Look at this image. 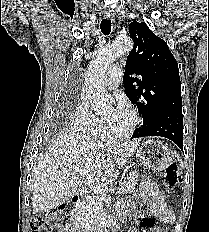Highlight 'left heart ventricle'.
<instances>
[{
    "instance_id": "b2bd125f",
    "label": "left heart ventricle",
    "mask_w": 209,
    "mask_h": 232,
    "mask_svg": "<svg viewBox=\"0 0 209 232\" xmlns=\"http://www.w3.org/2000/svg\"><path fill=\"white\" fill-rule=\"evenodd\" d=\"M103 116L108 123L109 129L115 133L126 131L132 123L131 116L126 110L121 113H116L113 109H109Z\"/></svg>"
}]
</instances>
